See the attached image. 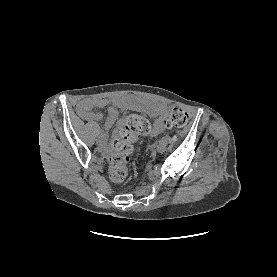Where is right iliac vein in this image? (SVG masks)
<instances>
[{
	"label": "right iliac vein",
	"instance_id": "obj_1",
	"mask_svg": "<svg viewBox=\"0 0 277 277\" xmlns=\"http://www.w3.org/2000/svg\"><path fill=\"white\" fill-rule=\"evenodd\" d=\"M96 143H97L98 146L103 147V146L106 145V139H105L104 137L98 138V139L96 140Z\"/></svg>",
	"mask_w": 277,
	"mask_h": 277
}]
</instances>
